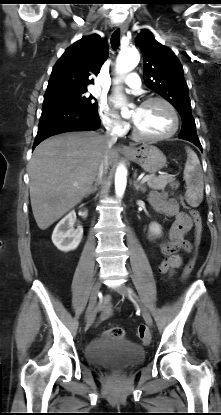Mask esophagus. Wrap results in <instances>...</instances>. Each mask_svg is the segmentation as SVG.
I'll return each mask as SVG.
<instances>
[{
	"label": "esophagus",
	"mask_w": 221,
	"mask_h": 415,
	"mask_svg": "<svg viewBox=\"0 0 221 415\" xmlns=\"http://www.w3.org/2000/svg\"><path fill=\"white\" fill-rule=\"evenodd\" d=\"M119 28H120L121 33L124 34L127 31V29H128V24L127 23H123V24H121L119 26ZM118 149L120 151H130L131 150L130 147L125 146V145H122V144H120L118 146Z\"/></svg>",
	"instance_id": "esophagus-1"
}]
</instances>
